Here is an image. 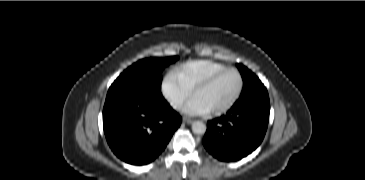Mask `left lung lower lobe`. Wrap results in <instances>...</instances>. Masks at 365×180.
<instances>
[{
	"label": "left lung lower lobe",
	"mask_w": 365,
	"mask_h": 180,
	"mask_svg": "<svg viewBox=\"0 0 365 180\" xmlns=\"http://www.w3.org/2000/svg\"><path fill=\"white\" fill-rule=\"evenodd\" d=\"M270 101L266 88L241 95L226 115L209 121L205 148L221 161H236L262 142L267 130Z\"/></svg>",
	"instance_id": "left-lung-lower-lobe-1"
}]
</instances>
